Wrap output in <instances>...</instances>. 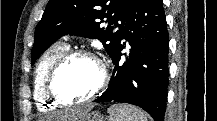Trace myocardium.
<instances>
[{
  "instance_id": "obj_1",
  "label": "myocardium",
  "mask_w": 217,
  "mask_h": 121,
  "mask_svg": "<svg viewBox=\"0 0 217 121\" xmlns=\"http://www.w3.org/2000/svg\"><path fill=\"white\" fill-rule=\"evenodd\" d=\"M77 58H88L94 61L100 69V80L97 85V87L93 90V92L86 98L79 100V101H73V100H65L62 97H60L55 89V80L58 75V73L66 67L68 64H70L73 60ZM109 80V71L104 63V61L94 54L91 51L77 49V50H71L65 53L51 68L49 71V74L47 76L46 81V94L50 101L58 106H74V105H84L95 98H97L102 91L105 89L107 83Z\"/></svg>"
}]
</instances>
